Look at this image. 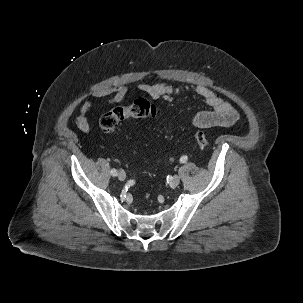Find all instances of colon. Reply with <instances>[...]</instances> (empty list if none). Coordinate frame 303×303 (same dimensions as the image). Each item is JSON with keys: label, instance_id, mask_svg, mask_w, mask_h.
<instances>
[{"label": "colon", "instance_id": "colon-1", "mask_svg": "<svg viewBox=\"0 0 303 303\" xmlns=\"http://www.w3.org/2000/svg\"><path fill=\"white\" fill-rule=\"evenodd\" d=\"M157 113L156 107L145 98H138L128 106H117L103 114L99 120V127L103 133H113L117 126L128 118H152ZM194 139L200 147H206L209 139L204 131L197 129Z\"/></svg>", "mask_w": 303, "mask_h": 303}]
</instances>
